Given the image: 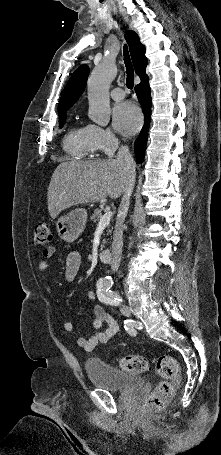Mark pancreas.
I'll list each match as a JSON object with an SVG mask.
<instances>
[{"instance_id": "1", "label": "pancreas", "mask_w": 221, "mask_h": 455, "mask_svg": "<svg viewBox=\"0 0 221 455\" xmlns=\"http://www.w3.org/2000/svg\"><path fill=\"white\" fill-rule=\"evenodd\" d=\"M103 216V209L102 208H98L94 211V213L91 215V219L96 222V221H99L100 218ZM112 230L110 229L109 230V233H111Z\"/></svg>"}]
</instances>
